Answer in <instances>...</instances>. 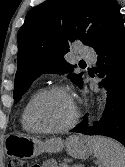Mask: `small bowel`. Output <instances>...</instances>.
<instances>
[{"label":"small bowel","instance_id":"c3829d8e","mask_svg":"<svg viewBox=\"0 0 125 167\" xmlns=\"http://www.w3.org/2000/svg\"><path fill=\"white\" fill-rule=\"evenodd\" d=\"M41 167H56L55 162L53 160H49L45 162Z\"/></svg>","mask_w":125,"mask_h":167}]
</instances>
